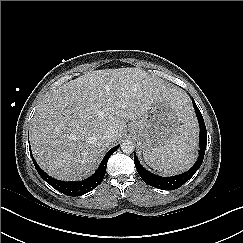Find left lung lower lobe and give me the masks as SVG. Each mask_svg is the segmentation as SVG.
Wrapping results in <instances>:
<instances>
[{
    "label": "left lung lower lobe",
    "mask_w": 243,
    "mask_h": 243,
    "mask_svg": "<svg viewBox=\"0 0 243 243\" xmlns=\"http://www.w3.org/2000/svg\"><path fill=\"white\" fill-rule=\"evenodd\" d=\"M192 102H193V106H194V109H195V112H196V115H197V118L199 121V125H200V143H199L200 151H199V157H198L196 163L190 170H188L187 172H185L183 174L176 175L173 177H161V176L152 174L149 171H147L146 169H144L142 167V165L139 163V161L136 157V154L134 153L135 167H136L140 177L143 179V181L146 184L153 186L155 188L162 189V190H174V189H177L180 186H182L184 183H186L200 168V166L203 162L205 149H206V145H207V130H206V126H205L202 114H201L200 110L198 109L194 99H192Z\"/></svg>",
    "instance_id": "1"
}]
</instances>
